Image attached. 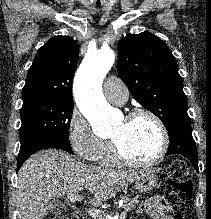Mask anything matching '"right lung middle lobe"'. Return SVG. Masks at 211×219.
<instances>
[{"label":"right lung middle lobe","mask_w":211,"mask_h":219,"mask_svg":"<svg viewBox=\"0 0 211 219\" xmlns=\"http://www.w3.org/2000/svg\"><path fill=\"white\" fill-rule=\"evenodd\" d=\"M72 113V102L43 98L23 101L22 124L19 130L20 149L42 140L70 146L69 127Z\"/></svg>","instance_id":"dd1d6c3e"}]
</instances>
